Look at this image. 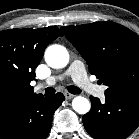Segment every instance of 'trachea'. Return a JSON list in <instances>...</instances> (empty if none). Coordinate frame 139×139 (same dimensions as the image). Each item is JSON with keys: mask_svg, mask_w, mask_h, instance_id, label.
Here are the masks:
<instances>
[{"mask_svg": "<svg viewBox=\"0 0 139 139\" xmlns=\"http://www.w3.org/2000/svg\"><path fill=\"white\" fill-rule=\"evenodd\" d=\"M67 89L72 94H79V93H81V90L78 87L73 86V85L68 86ZM54 93H55V89L52 88V87H48V88L45 89V96H51Z\"/></svg>", "mask_w": 139, "mask_h": 139, "instance_id": "3493384b", "label": "trachea"}]
</instances>
